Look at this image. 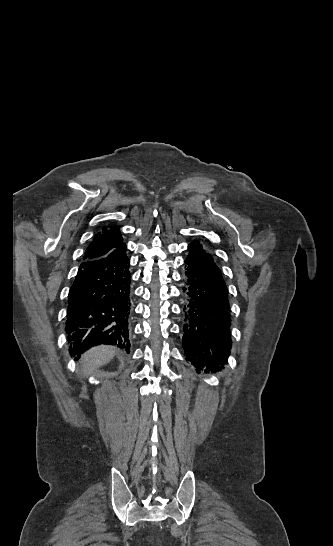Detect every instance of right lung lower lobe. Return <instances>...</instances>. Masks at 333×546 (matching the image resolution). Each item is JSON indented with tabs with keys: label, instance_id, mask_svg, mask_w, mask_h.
<instances>
[{
	"label": "right lung lower lobe",
	"instance_id": "1",
	"mask_svg": "<svg viewBox=\"0 0 333 546\" xmlns=\"http://www.w3.org/2000/svg\"><path fill=\"white\" fill-rule=\"evenodd\" d=\"M129 263L124 244L80 265L68 299L66 333L71 355L80 357L100 344L129 352Z\"/></svg>",
	"mask_w": 333,
	"mask_h": 546
}]
</instances>
